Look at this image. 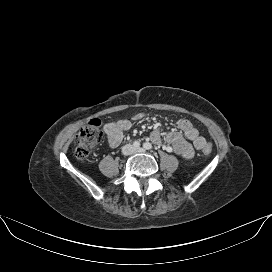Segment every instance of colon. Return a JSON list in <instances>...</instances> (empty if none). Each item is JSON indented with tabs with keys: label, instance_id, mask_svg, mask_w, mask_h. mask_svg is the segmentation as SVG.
<instances>
[{
	"label": "colon",
	"instance_id": "colon-1",
	"mask_svg": "<svg viewBox=\"0 0 272 272\" xmlns=\"http://www.w3.org/2000/svg\"><path fill=\"white\" fill-rule=\"evenodd\" d=\"M101 122L93 119L87 122L79 131L75 138V155L79 159H86L93 154L103 141V132L100 128ZM212 145L207 144L203 152L210 154Z\"/></svg>",
	"mask_w": 272,
	"mask_h": 272
}]
</instances>
